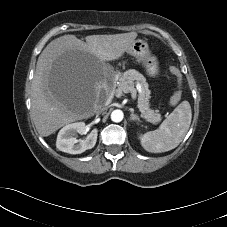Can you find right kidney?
I'll list each match as a JSON object with an SVG mask.
<instances>
[{
    "label": "right kidney",
    "instance_id": "1",
    "mask_svg": "<svg viewBox=\"0 0 227 227\" xmlns=\"http://www.w3.org/2000/svg\"><path fill=\"white\" fill-rule=\"evenodd\" d=\"M84 122H76L64 126L58 133L56 147L69 154H80L95 146L98 130L93 129L84 140H77V134H85Z\"/></svg>",
    "mask_w": 227,
    "mask_h": 227
}]
</instances>
